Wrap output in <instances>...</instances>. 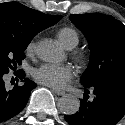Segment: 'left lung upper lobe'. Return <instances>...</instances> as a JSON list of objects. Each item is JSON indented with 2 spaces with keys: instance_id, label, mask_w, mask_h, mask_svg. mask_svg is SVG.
<instances>
[{
  "instance_id": "5c2ea615",
  "label": "left lung upper lobe",
  "mask_w": 125,
  "mask_h": 125,
  "mask_svg": "<svg viewBox=\"0 0 125 125\" xmlns=\"http://www.w3.org/2000/svg\"><path fill=\"white\" fill-rule=\"evenodd\" d=\"M91 49L88 69L81 77L84 87L105 80H125V26L100 13L71 15Z\"/></svg>"
}]
</instances>
